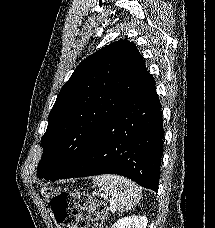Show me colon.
Segmentation results:
<instances>
[{
	"mask_svg": "<svg viewBox=\"0 0 215 228\" xmlns=\"http://www.w3.org/2000/svg\"><path fill=\"white\" fill-rule=\"evenodd\" d=\"M51 209L63 228H99L108 214L103 201L87 194L73 199L67 193H59L51 199ZM82 211L89 215V219L80 216Z\"/></svg>",
	"mask_w": 215,
	"mask_h": 228,
	"instance_id": "colon-1",
	"label": "colon"
}]
</instances>
